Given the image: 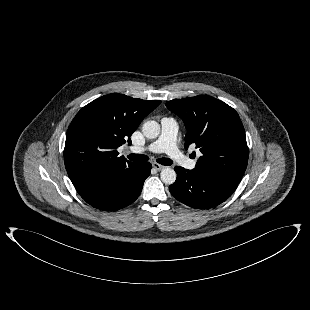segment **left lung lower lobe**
Instances as JSON below:
<instances>
[{"mask_svg": "<svg viewBox=\"0 0 310 310\" xmlns=\"http://www.w3.org/2000/svg\"><path fill=\"white\" fill-rule=\"evenodd\" d=\"M174 169L177 179L169 186L170 193L192 208L215 207L228 199L238 186L236 182L194 169L186 170L178 166Z\"/></svg>", "mask_w": 310, "mask_h": 310, "instance_id": "0a47b994", "label": "left lung lower lobe"}]
</instances>
